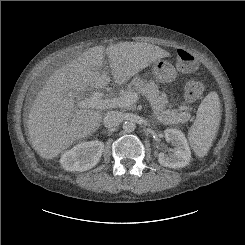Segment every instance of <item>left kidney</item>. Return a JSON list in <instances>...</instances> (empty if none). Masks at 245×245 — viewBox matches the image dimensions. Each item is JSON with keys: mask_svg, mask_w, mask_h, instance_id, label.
I'll use <instances>...</instances> for the list:
<instances>
[{"mask_svg": "<svg viewBox=\"0 0 245 245\" xmlns=\"http://www.w3.org/2000/svg\"><path fill=\"white\" fill-rule=\"evenodd\" d=\"M165 139L171 142L175 148L171 155H166L163 152H154L158 157V162L169 168H182L189 164L191 159V151L189 144L183 132L177 129L168 128L164 131Z\"/></svg>", "mask_w": 245, "mask_h": 245, "instance_id": "5707ae66", "label": "left kidney"}]
</instances>
